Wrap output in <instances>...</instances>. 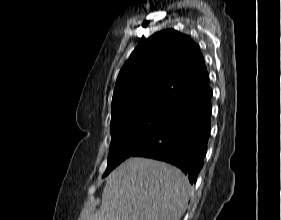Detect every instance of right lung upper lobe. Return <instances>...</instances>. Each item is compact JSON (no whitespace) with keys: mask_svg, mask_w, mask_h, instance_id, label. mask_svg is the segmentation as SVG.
Listing matches in <instances>:
<instances>
[{"mask_svg":"<svg viewBox=\"0 0 281 220\" xmlns=\"http://www.w3.org/2000/svg\"><path fill=\"white\" fill-rule=\"evenodd\" d=\"M210 89L200 47L167 29L143 40L119 72L111 122L132 115H170L184 101Z\"/></svg>","mask_w":281,"mask_h":220,"instance_id":"cb5924a9","label":"right lung upper lobe"}]
</instances>
